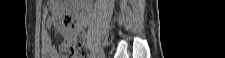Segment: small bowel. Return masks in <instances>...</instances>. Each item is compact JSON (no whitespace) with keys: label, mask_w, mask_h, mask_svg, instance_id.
Instances as JSON below:
<instances>
[{"label":"small bowel","mask_w":225,"mask_h":58,"mask_svg":"<svg viewBox=\"0 0 225 58\" xmlns=\"http://www.w3.org/2000/svg\"><path fill=\"white\" fill-rule=\"evenodd\" d=\"M52 25V19L51 18H47L46 19V26L50 27ZM76 34L77 31L74 29L68 30L66 32L64 41L62 42V44L59 47V52L62 55L63 54V50L64 48H66L69 45H73L77 43V38H76ZM42 52L47 54L50 58H56L59 56H56V49L54 44L52 43L51 39L48 37V39L46 41H44L43 45H42Z\"/></svg>","instance_id":"1"}]
</instances>
